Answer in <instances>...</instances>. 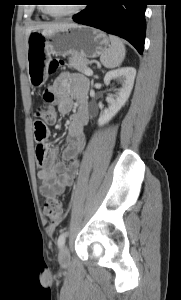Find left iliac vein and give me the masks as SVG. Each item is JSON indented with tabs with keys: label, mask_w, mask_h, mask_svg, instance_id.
<instances>
[{
	"label": "left iliac vein",
	"mask_w": 181,
	"mask_h": 300,
	"mask_svg": "<svg viewBox=\"0 0 181 300\" xmlns=\"http://www.w3.org/2000/svg\"><path fill=\"white\" fill-rule=\"evenodd\" d=\"M59 263L62 266H67L70 262V252L69 249L66 246H63L59 252Z\"/></svg>",
	"instance_id": "4c4485c4"
}]
</instances>
